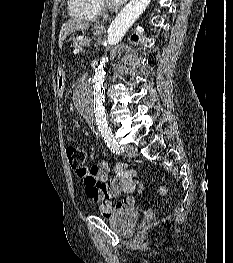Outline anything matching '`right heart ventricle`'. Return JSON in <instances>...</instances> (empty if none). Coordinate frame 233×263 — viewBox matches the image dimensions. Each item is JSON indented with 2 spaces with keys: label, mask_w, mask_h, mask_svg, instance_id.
Wrapping results in <instances>:
<instances>
[{
  "label": "right heart ventricle",
  "mask_w": 233,
  "mask_h": 263,
  "mask_svg": "<svg viewBox=\"0 0 233 263\" xmlns=\"http://www.w3.org/2000/svg\"><path fill=\"white\" fill-rule=\"evenodd\" d=\"M68 9L70 14L79 19H95L101 8L97 0H68Z\"/></svg>",
  "instance_id": "right-heart-ventricle-1"
}]
</instances>
